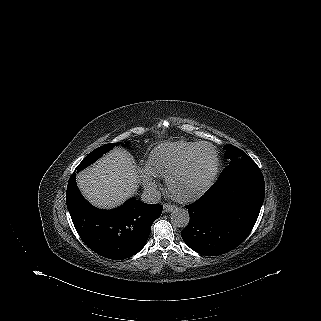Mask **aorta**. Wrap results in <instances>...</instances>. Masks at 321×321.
I'll return each instance as SVG.
<instances>
[{"instance_id":"762f6f07","label":"aorta","mask_w":321,"mask_h":321,"mask_svg":"<svg viewBox=\"0 0 321 321\" xmlns=\"http://www.w3.org/2000/svg\"><path fill=\"white\" fill-rule=\"evenodd\" d=\"M190 221L189 213L184 208H175L171 213V222L175 227L184 228Z\"/></svg>"}]
</instances>
